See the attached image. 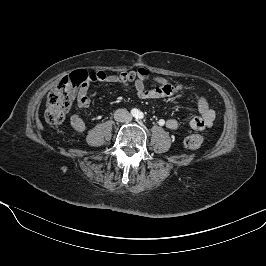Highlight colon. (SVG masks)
<instances>
[{
  "label": "colon",
  "instance_id": "colon-1",
  "mask_svg": "<svg viewBox=\"0 0 266 266\" xmlns=\"http://www.w3.org/2000/svg\"><path fill=\"white\" fill-rule=\"evenodd\" d=\"M148 72L140 69L137 72H125L121 75L123 82L134 80H145ZM92 80L91 74L84 70L75 71L65 76L61 82L48 94L45 109V120L51 125H60L65 120V116L71 107L79 88L87 85ZM185 146L197 151L203 144V136L199 133L191 134L185 139Z\"/></svg>",
  "mask_w": 266,
  "mask_h": 266
}]
</instances>
